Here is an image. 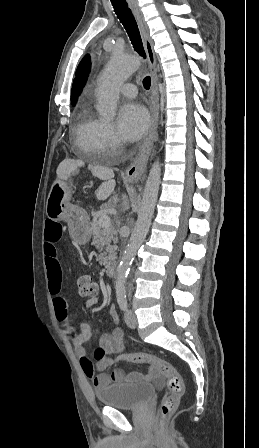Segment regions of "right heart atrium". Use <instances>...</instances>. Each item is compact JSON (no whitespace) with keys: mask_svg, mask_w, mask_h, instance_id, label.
Segmentation results:
<instances>
[{"mask_svg":"<svg viewBox=\"0 0 259 448\" xmlns=\"http://www.w3.org/2000/svg\"><path fill=\"white\" fill-rule=\"evenodd\" d=\"M99 152L104 156H110L122 148V140L114 126L102 121L98 135Z\"/></svg>","mask_w":259,"mask_h":448,"instance_id":"d8ad5b80","label":"right heart atrium"}]
</instances>
